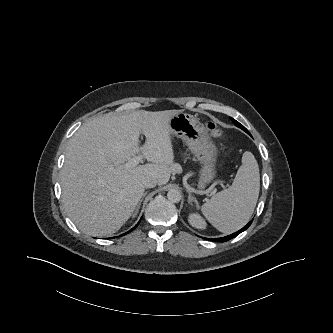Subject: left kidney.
<instances>
[{
	"label": "left kidney",
	"mask_w": 333,
	"mask_h": 333,
	"mask_svg": "<svg viewBox=\"0 0 333 333\" xmlns=\"http://www.w3.org/2000/svg\"><path fill=\"white\" fill-rule=\"evenodd\" d=\"M188 222L192 227L197 229H206V222L198 213H190L188 216Z\"/></svg>",
	"instance_id": "1"
}]
</instances>
